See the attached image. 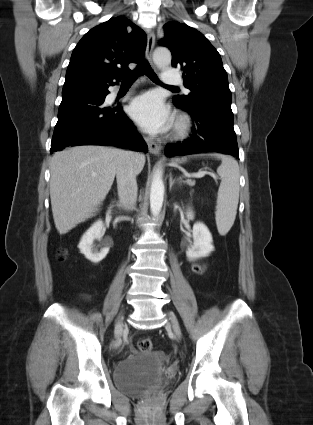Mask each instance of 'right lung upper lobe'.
I'll use <instances>...</instances> for the list:
<instances>
[{"instance_id": "1", "label": "right lung upper lobe", "mask_w": 313, "mask_h": 425, "mask_svg": "<svg viewBox=\"0 0 313 425\" xmlns=\"http://www.w3.org/2000/svg\"><path fill=\"white\" fill-rule=\"evenodd\" d=\"M146 34L129 19L118 16L89 30L74 48L64 87L108 85L140 62Z\"/></svg>"}]
</instances>
